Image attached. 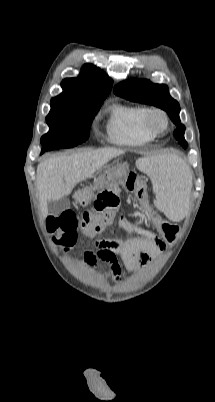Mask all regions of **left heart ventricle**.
<instances>
[{
    "label": "left heart ventricle",
    "instance_id": "b2bd125f",
    "mask_svg": "<svg viewBox=\"0 0 215 402\" xmlns=\"http://www.w3.org/2000/svg\"><path fill=\"white\" fill-rule=\"evenodd\" d=\"M153 125H154L156 128H162V127L164 126V122H163L162 118H160V117H155V118L153 119Z\"/></svg>",
    "mask_w": 215,
    "mask_h": 402
}]
</instances>
